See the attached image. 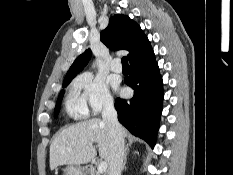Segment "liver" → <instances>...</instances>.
Listing matches in <instances>:
<instances>
[{
  "label": "liver",
  "instance_id": "6515ba94",
  "mask_svg": "<svg viewBox=\"0 0 233 175\" xmlns=\"http://www.w3.org/2000/svg\"><path fill=\"white\" fill-rule=\"evenodd\" d=\"M123 137L127 132L122 128ZM99 147V155L108 164L111 161L113 142L108 125L99 118L79 122L62 130L50 146V169L60 165L87 164L96 156L93 144Z\"/></svg>",
  "mask_w": 233,
  "mask_h": 175
}]
</instances>
